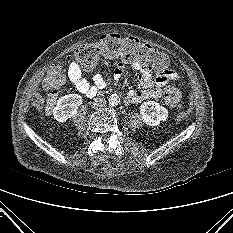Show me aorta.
Listing matches in <instances>:
<instances>
[{
  "label": "aorta",
  "mask_w": 233,
  "mask_h": 233,
  "mask_svg": "<svg viewBox=\"0 0 233 233\" xmlns=\"http://www.w3.org/2000/svg\"><path fill=\"white\" fill-rule=\"evenodd\" d=\"M119 102H120L119 95H117V94L110 95V97H109V104L111 106H116V105H118Z\"/></svg>",
  "instance_id": "obj_1"
}]
</instances>
